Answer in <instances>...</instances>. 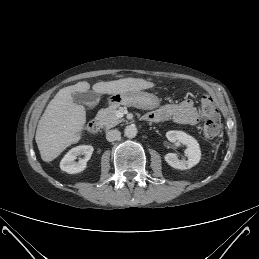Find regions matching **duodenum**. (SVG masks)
Masks as SVG:
<instances>
[{
    "label": "duodenum",
    "instance_id": "410a0bca",
    "mask_svg": "<svg viewBox=\"0 0 259 259\" xmlns=\"http://www.w3.org/2000/svg\"><path fill=\"white\" fill-rule=\"evenodd\" d=\"M144 120H145V119H144ZM100 128H101V124H100L99 120H97V119H92V120L88 123V125H87L88 131H89L90 133H92V134L98 133L99 130H100Z\"/></svg>",
    "mask_w": 259,
    "mask_h": 259
}]
</instances>
